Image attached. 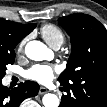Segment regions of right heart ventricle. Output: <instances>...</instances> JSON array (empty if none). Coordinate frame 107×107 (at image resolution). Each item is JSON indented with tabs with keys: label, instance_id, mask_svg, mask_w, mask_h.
Segmentation results:
<instances>
[{
	"label": "right heart ventricle",
	"instance_id": "right-heart-ventricle-1",
	"mask_svg": "<svg viewBox=\"0 0 107 107\" xmlns=\"http://www.w3.org/2000/svg\"><path fill=\"white\" fill-rule=\"evenodd\" d=\"M43 39L53 48L60 47L65 40L63 31L54 24H45L40 29Z\"/></svg>",
	"mask_w": 107,
	"mask_h": 107
}]
</instances>
